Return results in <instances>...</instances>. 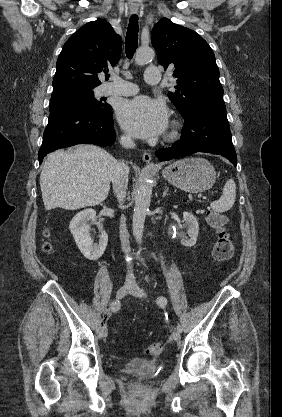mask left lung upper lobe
Masks as SVG:
<instances>
[{
  "instance_id": "5c2ea615",
  "label": "left lung upper lobe",
  "mask_w": 282,
  "mask_h": 417,
  "mask_svg": "<svg viewBox=\"0 0 282 417\" xmlns=\"http://www.w3.org/2000/svg\"><path fill=\"white\" fill-rule=\"evenodd\" d=\"M151 42L159 63L174 72L178 90L168 97L182 116L198 100H223L214 53L195 31L163 18L153 27Z\"/></svg>"
}]
</instances>
